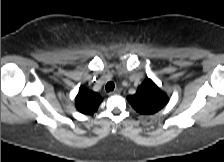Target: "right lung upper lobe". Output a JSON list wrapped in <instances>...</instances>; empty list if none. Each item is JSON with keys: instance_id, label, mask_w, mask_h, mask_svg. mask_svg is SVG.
Wrapping results in <instances>:
<instances>
[{"instance_id": "obj_1", "label": "right lung upper lobe", "mask_w": 224, "mask_h": 162, "mask_svg": "<svg viewBox=\"0 0 224 162\" xmlns=\"http://www.w3.org/2000/svg\"><path fill=\"white\" fill-rule=\"evenodd\" d=\"M101 102L102 98L98 93L88 90L85 87H81L76 96V107L78 111L86 115L96 112Z\"/></svg>"}]
</instances>
